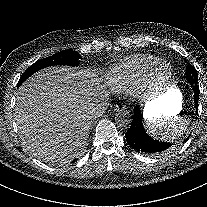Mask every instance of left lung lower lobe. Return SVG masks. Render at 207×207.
<instances>
[{
    "label": "left lung lower lobe",
    "mask_w": 207,
    "mask_h": 207,
    "mask_svg": "<svg viewBox=\"0 0 207 207\" xmlns=\"http://www.w3.org/2000/svg\"><path fill=\"white\" fill-rule=\"evenodd\" d=\"M190 85L194 88V103L198 109L199 99V86L198 78L189 81ZM143 115L141 114L140 106L134 108L133 122L125 134L128 144L138 152L146 154H156L167 150L172 143L159 142L151 138L144 130L142 125Z\"/></svg>",
    "instance_id": "0a47b994"
}]
</instances>
